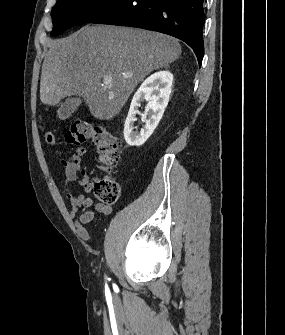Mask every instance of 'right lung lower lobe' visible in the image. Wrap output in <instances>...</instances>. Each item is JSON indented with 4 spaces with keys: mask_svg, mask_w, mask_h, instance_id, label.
Masks as SVG:
<instances>
[{
    "mask_svg": "<svg viewBox=\"0 0 285 335\" xmlns=\"http://www.w3.org/2000/svg\"><path fill=\"white\" fill-rule=\"evenodd\" d=\"M203 2L204 0H120L89 22L139 27L174 36L193 49L201 65L204 55Z\"/></svg>",
    "mask_w": 285,
    "mask_h": 335,
    "instance_id": "1",
    "label": "right lung lower lobe"
}]
</instances>
